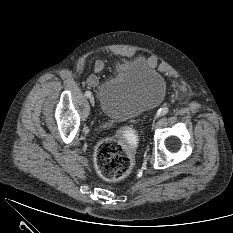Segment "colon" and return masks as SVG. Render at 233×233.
I'll list each match as a JSON object with an SVG mask.
<instances>
[{
    "label": "colon",
    "instance_id": "obj_1",
    "mask_svg": "<svg viewBox=\"0 0 233 233\" xmlns=\"http://www.w3.org/2000/svg\"><path fill=\"white\" fill-rule=\"evenodd\" d=\"M136 142V133L129 126L123 128L118 135L102 139L96 146L94 154L99 176L109 182L126 178L133 168Z\"/></svg>",
    "mask_w": 233,
    "mask_h": 233
}]
</instances>
